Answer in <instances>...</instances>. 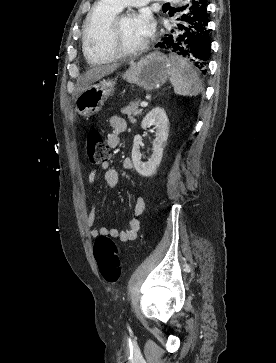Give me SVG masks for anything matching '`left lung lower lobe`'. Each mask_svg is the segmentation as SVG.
I'll return each mask as SVG.
<instances>
[{"instance_id": "0a47b994", "label": "left lung lower lobe", "mask_w": 276, "mask_h": 363, "mask_svg": "<svg viewBox=\"0 0 276 363\" xmlns=\"http://www.w3.org/2000/svg\"><path fill=\"white\" fill-rule=\"evenodd\" d=\"M156 47L169 50L206 73L210 41L207 0H186L184 11Z\"/></svg>"}]
</instances>
